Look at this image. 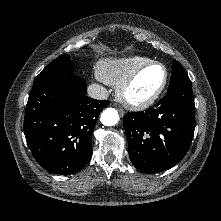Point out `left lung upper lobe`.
<instances>
[{
  "label": "left lung upper lobe",
  "instance_id": "1",
  "mask_svg": "<svg viewBox=\"0 0 221 221\" xmlns=\"http://www.w3.org/2000/svg\"><path fill=\"white\" fill-rule=\"evenodd\" d=\"M184 83L191 84V81L188 75L186 74L184 68L182 67V65L177 60H174L172 65V72H171L170 85L168 91H171L178 85Z\"/></svg>",
  "mask_w": 221,
  "mask_h": 221
}]
</instances>
